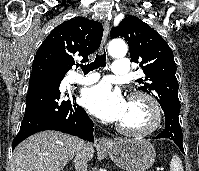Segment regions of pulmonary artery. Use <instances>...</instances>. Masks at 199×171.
<instances>
[{"instance_id":"obj_1","label":"pulmonary artery","mask_w":199,"mask_h":171,"mask_svg":"<svg viewBox=\"0 0 199 171\" xmlns=\"http://www.w3.org/2000/svg\"><path fill=\"white\" fill-rule=\"evenodd\" d=\"M112 73L118 76H126L130 73L129 61L127 59L117 60L113 63ZM99 75L96 73L88 76H74L71 80L72 83L77 84H91L98 80Z\"/></svg>"}]
</instances>
